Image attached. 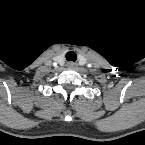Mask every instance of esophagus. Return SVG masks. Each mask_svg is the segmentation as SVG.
<instances>
[{
	"instance_id": "1",
	"label": "esophagus",
	"mask_w": 145,
	"mask_h": 145,
	"mask_svg": "<svg viewBox=\"0 0 145 145\" xmlns=\"http://www.w3.org/2000/svg\"><path fill=\"white\" fill-rule=\"evenodd\" d=\"M76 66H77V64L72 62V61H69L67 63V67L70 68V69H74V68H76Z\"/></svg>"
}]
</instances>
